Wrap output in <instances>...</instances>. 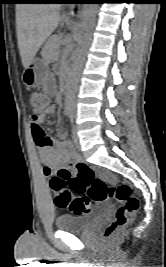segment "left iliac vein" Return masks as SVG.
Listing matches in <instances>:
<instances>
[{"label": "left iliac vein", "mask_w": 166, "mask_h": 267, "mask_svg": "<svg viewBox=\"0 0 166 267\" xmlns=\"http://www.w3.org/2000/svg\"><path fill=\"white\" fill-rule=\"evenodd\" d=\"M72 133H73L74 143L79 148L80 147V142H79V137L77 135V132H76V128L75 127H73Z\"/></svg>", "instance_id": "left-iliac-vein-1"}]
</instances>
